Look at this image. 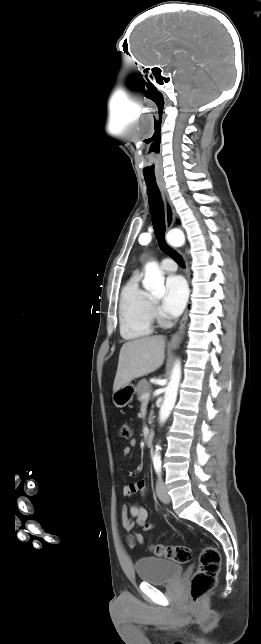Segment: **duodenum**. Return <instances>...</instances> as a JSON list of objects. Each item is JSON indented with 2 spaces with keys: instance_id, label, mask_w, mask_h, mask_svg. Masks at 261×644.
<instances>
[{
  "instance_id": "obj_1",
  "label": "duodenum",
  "mask_w": 261,
  "mask_h": 644,
  "mask_svg": "<svg viewBox=\"0 0 261 644\" xmlns=\"http://www.w3.org/2000/svg\"><path fill=\"white\" fill-rule=\"evenodd\" d=\"M153 441H154V432L149 431L146 435L145 443L147 446H151L153 444Z\"/></svg>"
}]
</instances>
